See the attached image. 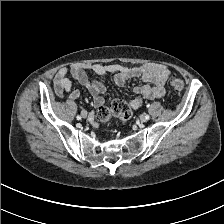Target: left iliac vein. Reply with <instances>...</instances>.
Segmentation results:
<instances>
[{
  "instance_id": "1",
  "label": "left iliac vein",
  "mask_w": 224,
  "mask_h": 224,
  "mask_svg": "<svg viewBox=\"0 0 224 224\" xmlns=\"http://www.w3.org/2000/svg\"><path fill=\"white\" fill-rule=\"evenodd\" d=\"M140 121H141L142 123H145V122L147 121V119H146V115H141V116H140Z\"/></svg>"
}]
</instances>
